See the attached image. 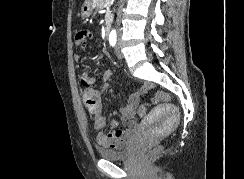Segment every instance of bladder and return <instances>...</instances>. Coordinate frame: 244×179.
Returning a JSON list of instances; mask_svg holds the SVG:
<instances>
[{
	"label": "bladder",
	"mask_w": 244,
	"mask_h": 179,
	"mask_svg": "<svg viewBox=\"0 0 244 179\" xmlns=\"http://www.w3.org/2000/svg\"><path fill=\"white\" fill-rule=\"evenodd\" d=\"M97 152L98 155H100L104 159L119 160V159L127 158V156L130 153V149L127 148L125 150L119 151V150H106V149L98 148Z\"/></svg>",
	"instance_id": "obj_1"
}]
</instances>
